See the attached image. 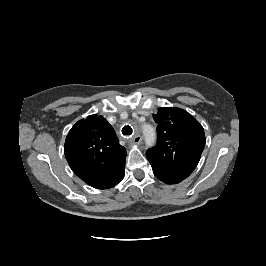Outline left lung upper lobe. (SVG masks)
<instances>
[{
  "label": "left lung upper lobe",
  "mask_w": 266,
  "mask_h": 266,
  "mask_svg": "<svg viewBox=\"0 0 266 266\" xmlns=\"http://www.w3.org/2000/svg\"><path fill=\"white\" fill-rule=\"evenodd\" d=\"M157 145L146 156L154 175L167 184L186 179L196 168L205 146L201 124L187 111L166 107L153 115Z\"/></svg>",
  "instance_id": "5c2ea615"
}]
</instances>
